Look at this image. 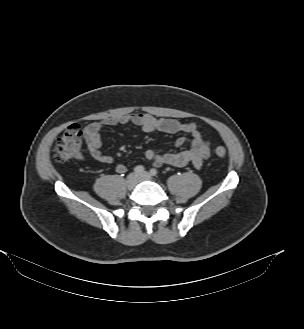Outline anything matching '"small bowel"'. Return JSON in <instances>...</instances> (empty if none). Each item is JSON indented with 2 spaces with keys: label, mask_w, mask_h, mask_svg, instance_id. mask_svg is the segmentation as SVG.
Segmentation results:
<instances>
[{
  "label": "small bowel",
  "mask_w": 304,
  "mask_h": 329,
  "mask_svg": "<svg viewBox=\"0 0 304 329\" xmlns=\"http://www.w3.org/2000/svg\"><path fill=\"white\" fill-rule=\"evenodd\" d=\"M131 123L137 126L143 132L160 131L164 133H186L190 135L191 147L189 150L181 152H157L153 149L145 151V157L156 166L171 165L182 167L187 164H193L200 168L209 158L210 148L207 141L204 140L195 123H182L175 119L156 118L148 113H132L121 115L114 118L104 119L93 122L84 127L85 140L90 156L97 162L102 164H112L114 159L112 156L101 152V133L108 126L126 125ZM185 139L179 138L178 145H182ZM81 159L83 157H80ZM118 173H124L126 166L118 164L116 166Z\"/></svg>",
  "instance_id": "c3829d8e"
}]
</instances>
